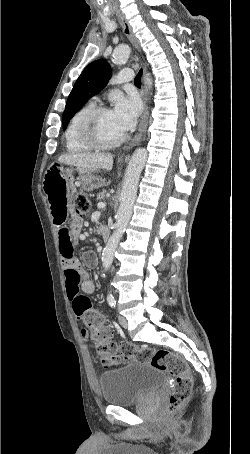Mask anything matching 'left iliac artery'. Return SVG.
Masks as SVG:
<instances>
[{
    "mask_svg": "<svg viewBox=\"0 0 250 454\" xmlns=\"http://www.w3.org/2000/svg\"><path fill=\"white\" fill-rule=\"evenodd\" d=\"M107 301H108V303H109V305L111 307H115L116 306V300H115V298L113 296L108 297Z\"/></svg>",
    "mask_w": 250,
    "mask_h": 454,
    "instance_id": "44dca946",
    "label": "left iliac artery"
}]
</instances>
